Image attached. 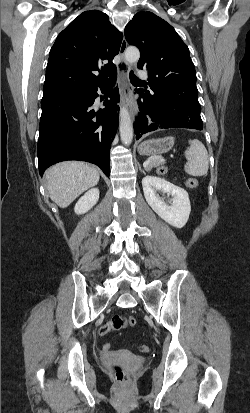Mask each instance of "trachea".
Segmentation results:
<instances>
[{"label": "trachea", "instance_id": "obj_1", "mask_svg": "<svg viewBox=\"0 0 250 413\" xmlns=\"http://www.w3.org/2000/svg\"><path fill=\"white\" fill-rule=\"evenodd\" d=\"M130 81L132 83H144L143 81H141L134 73L133 71H130Z\"/></svg>", "mask_w": 250, "mask_h": 413}]
</instances>
